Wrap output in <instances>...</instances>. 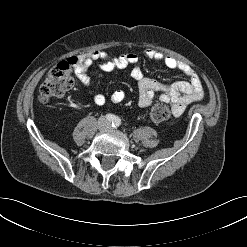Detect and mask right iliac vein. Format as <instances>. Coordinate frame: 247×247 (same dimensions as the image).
I'll return each instance as SVG.
<instances>
[{
    "label": "right iliac vein",
    "instance_id": "obj_1",
    "mask_svg": "<svg viewBox=\"0 0 247 247\" xmlns=\"http://www.w3.org/2000/svg\"><path fill=\"white\" fill-rule=\"evenodd\" d=\"M104 124V119H101L100 122H99V126L102 127Z\"/></svg>",
    "mask_w": 247,
    "mask_h": 247
}]
</instances>
